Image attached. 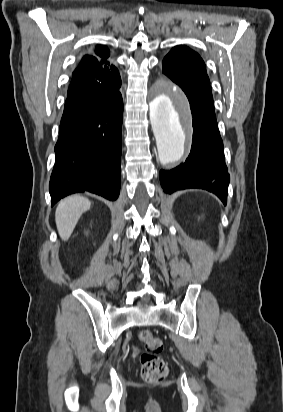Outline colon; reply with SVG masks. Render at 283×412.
I'll list each match as a JSON object with an SVG mask.
<instances>
[{
  "instance_id": "colon-1",
  "label": "colon",
  "mask_w": 283,
  "mask_h": 412,
  "mask_svg": "<svg viewBox=\"0 0 283 412\" xmlns=\"http://www.w3.org/2000/svg\"><path fill=\"white\" fill-rule=\"evenodd\" d=\"M138 339L145 348L140 357L142 378L149 383L162 382L168 375L166 362L158 355L162 350V341L150 330H142Z\"/></svg>"
}]
</instances>
